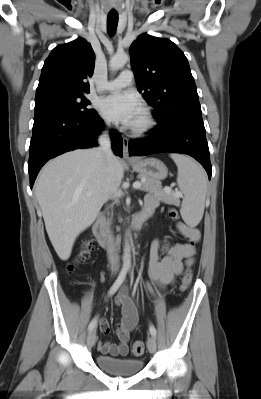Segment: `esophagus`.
I'll return each instance as SVG.
<instances>
[{
  "instance_id": "34e87169",
  "label": "esophagus",
  "mask_w": 261,
  "mask_h": 399,
  "mask_svg": "<svg viewBox=\"0 0 261 399\" xmlns=\"http://www.w3.org/2000/svg\"><path fill=\"white\" fill-rule=\"evenodd\" d=\"M128 145H129L128 138L123 137V157L124 158H130Z\"/></svg>"
}]
</instances>
